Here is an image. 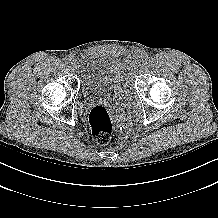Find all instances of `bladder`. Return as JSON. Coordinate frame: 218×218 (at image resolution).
Wrapping results in <instances>:
<instances>
[{
    "label": "bladder",
    "instance_id": "31cf9c89",
    "mask_svg": "<svg viewBox=\"0 0 218 218\" xmlns=\"http://www.w3.org/2000/svg\"><path fill=\"white\" fill-rule=\"evenodd\" d=\"M78 63L81 94L86 100L121 95L132 82V62L128 57L86 52Z\"/></svg>",
    "mask_w": 218,
    "mask_h": 218
}]
</instances>
